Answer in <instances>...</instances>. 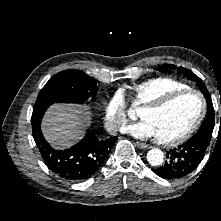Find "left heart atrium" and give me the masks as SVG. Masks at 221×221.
I'll list each match as a JSON object with an SVG mask.
<instances>
[{"mask_svg":"<svg viewBox=\"0 0 221 221\" xmlns=\"http://www.w3.org/2000/svg\"><path fill=\"white\" fill-rule=\"evenodd\" d=\"M123 132L138 139L156 137L152 125L146 120L124 127Z\"/></svg>","mask_w":221,"mask_h":221,"instance_id":"1","label":"left heart atrium"}]
</instances>
